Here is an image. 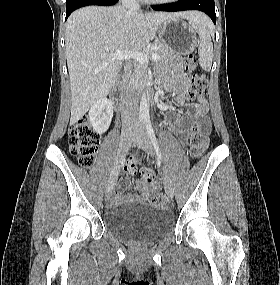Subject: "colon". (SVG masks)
Returning <instances> with one entry per match:
<instances>
[{"label":"colon","mask_w":280,"mask_h":285,"mask_svg":"<svg viewBox=\"0 0 280 285\" xmlns=\"http://www.w3.org/2000/svg\"><path fill=\"white\" fill-rule=\"evenodd\" d=\"M185 68L191 73L193 87L189 93L192 100H200L207 89V79L203 74L197 73L196 59L189 56L185 59ZM210 127L193 128L189 137V148L194 156H200L208 147V133ZM69 145L71 153L77 158L79 164L84 168H91L94 163V156L99 145V134L93 130L89 122L79 121L70 127ZM141 176L145 182H151L154 173L151 169H141ZM151 201L157 204L167 202L164 194H155L151 197Z\"/></svg>","instance_id":"1"}]
</instances>
